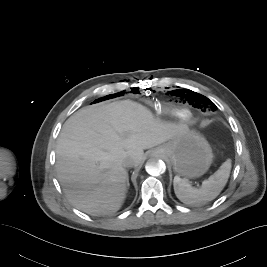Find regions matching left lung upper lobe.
I'll return each mask as SVG.
<instances>
[{
  "label": "left lung upper lobe",
  "instance_id": "obj_1",
  "mask_svg": "<svg viewBox=\"0 0 267 267\" xmlns=\"http://www.w3.org/2000/svg\"><path fill=\"white\" fill-rule=\"evenodd\" d=\"M185 92H189L191 94L185 95L183 92L177 91V95L181 96L182 98H185L186 100L189 101L190 104L193 103V105L195 107H204V108H208L211 110H215L216 106L213 102H211L208 98H206L205 96H202L196 92H192V91H185Z\"/></svg>",
  "mask_w": 267,
  "mask_h": 267
}]
</instances>
